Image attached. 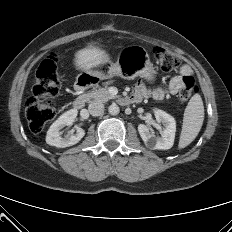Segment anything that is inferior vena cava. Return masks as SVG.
I'll use <instances>...</instances> for the list:
<instances>
[{"label": "inferior vena cava", "mask_w": 232, "mask_h": 232, "mask_svg": "<svg viewBox=\"0 0 232 232\" xmlns=\"http://www.w3.org/2000/svg\"><path fill=\"white\" fill-rule=\"evenodd\" d=\"M88 110L92 116H100L104 113V105L100 102H93L88 106Z\"/></svg>", "instance_id": "1"}]
</instances>
